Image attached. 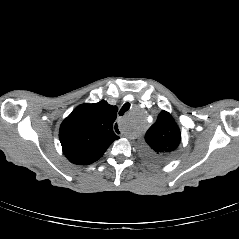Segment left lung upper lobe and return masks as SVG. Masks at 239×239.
Segmentation results:
<instances>
[{
	"label": "left lung upper lobe",
	"instance_id": "1",
	"mask_svg": "<svg viewBox=\"0 0 239 239\" xmlns=\"http://www.w3.org/2000/svg\"><path fill=\"white\" fill-rule=\"evenodd\" d=\"M180 140L181 133L175 120L168 112L161 111L156 122L146 132L143 152L150 160L166 161L174 154Z\"/></svg>",
	"mask_w": 239,
	"mask_h": 239
}]
</instances>
